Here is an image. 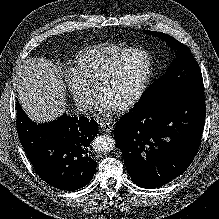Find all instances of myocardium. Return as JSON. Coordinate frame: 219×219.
Returning a JSON list of instances; mask_svg holds the SVG:
<instances>
[{
  "instance_id": "1",
  "label": "myocardium",
  "mask_w": 219,
  "mask_h": 219,
  "mask_svg": "<svg viewBox=\"0 0 219 219\" xmlns=\"http://www.w3.org/2000/svg\"><path fill=\"white\" fill-rule=\"evenodd\" d=\"M137 54H144L145 56H147L148 60H149V67L148 70L138 88V90L136 91V93L125 103L115 106L113 107V109L116 112L119 113H124L127 112L129 110H131L132 108H134L140 101L141 99L144 97L146 91L148 90V87L151 83L154 71H155V61L154 58L152 56V54L143 48H134L131 51L125 53L124 55H122L121 57H119L107 70L106 72L103 74V76L101 77L98 86H97V90L99 95L102 97V93L105 89V87L109 84V82L112 80V78L115 76V74L117 73V71L119 70V68L121 67V65L128 60L129 58L137 55Z\"/></svg>"
}]
</instances>
